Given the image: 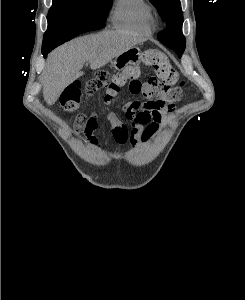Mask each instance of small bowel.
Returning a JSON list of instances; mask_svg holds the SVG:
<instances>
[{
    "label": "small bowel",
    "instance_id": "c3829d8e",
    "mask_svg": "<svg viewBox=\"0 0 245 300\" xmlns=\"http://www.w3.org/2000/svg\"><path fill=\"white\" fill-rule=\"evenodd\" d=\"M134 95H141L142 99L134 100L124 106V112L130 126L126 125L118 116L110 112L107 120L111 126L114 140L125 145L130 143L134 148L146 144L165 122L168 114L174 111L173 103L164 99H155L154 93L146 83L140 82L138 91L131 92ZM98 127V119L95 114L87 117H77L74 132L84 134L86 141L93 147H98V140L94 135Z\"/></svg>",
    "mask_w": 245,
    "mask_h": 300
}]
</instances>
